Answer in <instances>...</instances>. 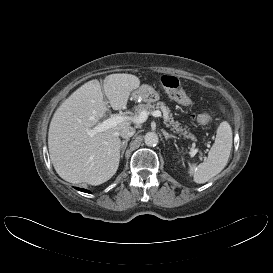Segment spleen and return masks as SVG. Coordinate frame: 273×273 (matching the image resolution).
Listing matches in <instances>:
<instances>
[{"label":"spleen","mask_w":273,"mask_h":273,"mask_svg":"<svg viewBox=\"0 0 273 273\" xmlns=\"http://www.w3.org/2000/svg\"><path fill=\"white\" fill-rule=\"evenodd\" d=\"M232 130L228 122L220 123L215 142L212 145L208 158L201 164H192L189 173L196 183H205L219 174L227 165L232 148Z\"/></svg>","instance_id":"spleen-1"}]
</instances>
